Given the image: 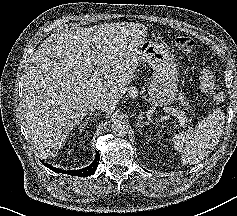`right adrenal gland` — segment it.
Returning <instances> with one entry per match:
<instances>
[{
    "mask_svg": "<svg viewBox=\"0 0 237 216\" xmlns=\"http://www.w3.org/2000/svg\"><path fill=\"white\" fill-rule=\"evenodd\" d=\"M94 114V112H91V113H89V115H88V118H87V120L85 121V123H84V128H86V127H89V122H92V115Z\"/></svg>",
    "mask_w": 237,
    "mask_h": 216,
    "instance_id": "obj_1",
    "label": "right adrenal gland"
}]
</instances>
